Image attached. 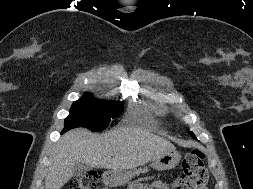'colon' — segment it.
Listing matches in <instances>:
<instances>
[{
    "label": "colon",
    "mask_w": 253,
    "mask_h": 189,
    "mask_svg": "<svg viewBox=\"0 0 253 189\" xmlns=\"http://www.w3.org/2000/svg\"><path fill=\"white\" fill-rule=\"evenodd\" d=\"M183 173L174 181V189H202L207 183L208 172L204 165V153L201 150L188 152L182 161ZM98 171H90L73 178L67 189H99Z\"/></svg>",
    "instance_id": "5ec220e1"
}]
</instances>
